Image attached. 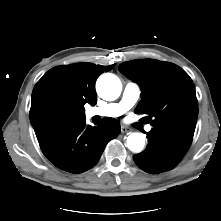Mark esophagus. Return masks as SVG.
<instances>
[{
  "label": "esophagus",
  "mask_w": 221,
  "mask_h": 221,
  "mask_svg": "<svg viewBox=\"0 0 221 221\" xmlns=\"http://www.w3.org/2000/svg\"><path fill=\"white\" fill-rule=\"evenodd\" d=\"M130 131L131 129L129 127L124 126V125L121 126V133H128Z\"/></svg>",
  "instance_id": "1"
}]
</instances>
